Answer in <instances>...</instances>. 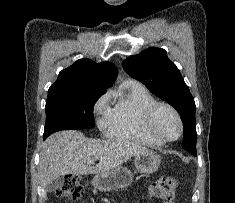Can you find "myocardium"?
I'll return each mask as SVG.
<instances>
[{
  "mask_svg": "<svg viewBox=\"0 0 235 203\" xmlns=\"http://www.w3.org/2000/svg\"><path fill=\"white\" fill-rule=\"evenodd\" d=\"M161 108H166L169 111H171L178 122L179 133L174 138L162 137V136L158 135L156 132H154V130L152 128L153 119H154L156 113L158 112V110ZM143 127H144L145 132L151 138H153L155 141H157L161 144L174 142V141L180 139L182 137L183 131H184V124H183V120L181 118L180 113L177 111V109L174 106H172L171 104L166 103V102H155L154 104H152L151 106H149L146 109V111L144 113V117H143Z\"/></svg>",
  "mask_w": 235,
  "mask_h": 203,
  "instance_id": "myocardium-1",
  "label": "myocardium"
}]
</instances>
